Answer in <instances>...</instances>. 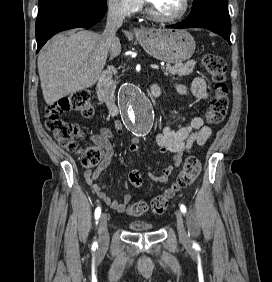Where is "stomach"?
I'll return each mask as SVG.
<instances>
[{
	"label": "stomach",
	"instance_id": "1",
	"mask_svg": "<svg viewBox=\"0 0 272 282\" xmlns=\"http://www.w3.org/2000/svg\"><path fill=\"white\" fill-rule=\"evenodd\" d=\"M136 39L152 57L170 63H181L195 51L194 38L185 30L148 28L135 33Z\"/></svg>",
	"mask_w": 272,
	"mask_h": 282
}]
</instances>
